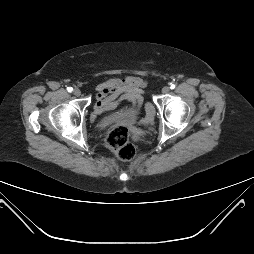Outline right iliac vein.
<instances>
[{"instance_id": "right-iliac-vein-1", "label": "right iliac vein", "mask_w": 254, "mask_h": 254, "mask_svg": "<svg viewBox=\"0 0 254 254\" xmlns=\"http://www.w3.org/2000/svg\"><path fill=\"white\" fill-rule=\"evenodd\" d=\"M73 94H74L75 96H80V95H81V90H80L79 88H75V89L73 90Z\"/></svg>"}]
</instances>
